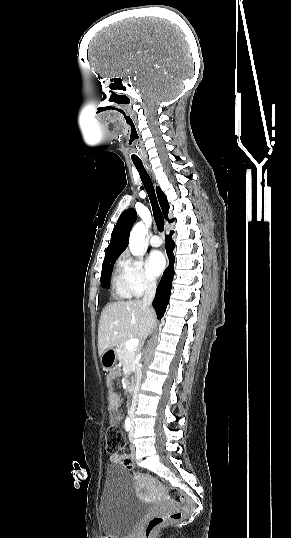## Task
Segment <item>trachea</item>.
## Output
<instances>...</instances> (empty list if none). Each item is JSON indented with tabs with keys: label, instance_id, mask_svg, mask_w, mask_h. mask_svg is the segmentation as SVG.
Returning a JSON list of instances; mask_svg holds the SVG:
<instances>
[{
	"label": "trachea",
	"instance_id": "trachea-1",
	"mask_svg": "<svg viewBox=\"0 0 291 538\" xmlns=\"http://www.w3.org/2000/svg\"><path fill=\"white\" fill-rule=\"evenodd\" d=\"M136 169L138 170L139 172V175H140V178L142 180V183L145 187V190L150 198V201H151V205H152V209H153V215H154V220L156 222V225L159 229L160 232H163L164 230V218L162 216V213H161V210L159 208V205H158V202H157V199H156V195H155V191H154V187H153V184H152V181H151V178L149 176V174L147 173L146 169L144 168L143 164H134Z\"/></svg>",
	"mask_w": 291,
	"mask_h": 538
}]
</instances>
